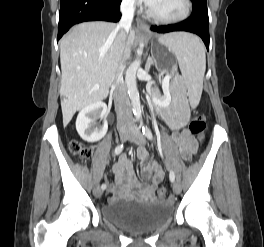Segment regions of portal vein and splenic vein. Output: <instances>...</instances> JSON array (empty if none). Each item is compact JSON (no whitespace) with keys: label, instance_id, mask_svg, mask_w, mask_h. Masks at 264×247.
Instances as JSON below:
<instances>
[{"label":"portal vein and splenic vein","instance_id":"obj_1","mask_svg":"<svg viewBox=\"0 0 264 247\" xmlns=\"http://www.w3.org/2000/svg\"><path fill=\"white\" fill-rule=\"evenodd\" d=\"M171 77H172V75L171 74H166L165 76H164V82H169V80L171 79Z\"/></svg>","mask_w":264,"mask_h":247}]
</instances>
